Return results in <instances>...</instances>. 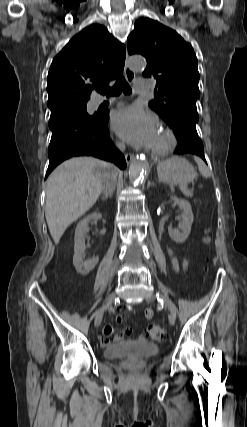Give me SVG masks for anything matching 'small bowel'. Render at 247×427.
<instances>
[{"label":"small bowel","mask_w":247,"mask_h":427,"mask_svg":"<svg viewBox=\"0 0 247 427\" xmlns=\"http://www.w3.org/2000/svg\"><path fill=\"white\" fill-rule=\"evenodd\" d=\"M168 254H169L170 259H171V264H172V266H173V268H174V270H175L176 272L182 271V270H184V269L186 268V266H187V262H186V260H182V261H180V260H179L175 255H174V253H173V251H172L171 249H168ZM152 315H153V312H152V310H151V309H147V310L145 311V317H146V318H151V317H152ZM115 320H116V322H118V323L122 322V320H123L122 315H121V313H120V308L117 310V313H116V315H115ZM103 334H104V337L102 338L101 343H102L103 345H106V344H108V343H109V338H110L111 336H113V339H114V341H115V342H120V341H122V340H124V339L129 338V337H130V335L132 334V328L127 327L124 331L119 332V333H115V332H114V328H113V326H112V325H110V324H106V325L103 327ZM138 338H139L140 340H143L145 337H144L143 335H141V336H139Z\"/></svg>","instance_id":"small-bowel-1"}]
</instances>
